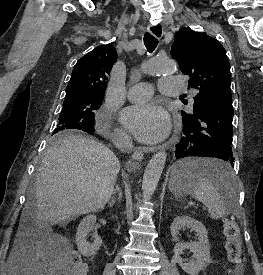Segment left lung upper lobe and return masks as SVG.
<instances>
[{
  "label": "left lung upper lobe",
  "instance_id": "5c2ea615",
  "mask_svg": "<svg viewBox=\"0 0 263 275\" xmlns=\"http://www.w3.org/2000/svg\"><path fill=\"white\" fill-rule=\"evenodd\" d=\"M171 56L190 76V86L199 90L193 114L182 111V122H192L210 103L231 96L230 65L221 43L206 33L181 28L175 35Z\"/></svg>",
  "mask_w": 263,
  "mask_h": 275
}]
</instances>
